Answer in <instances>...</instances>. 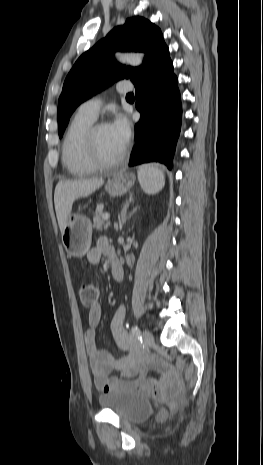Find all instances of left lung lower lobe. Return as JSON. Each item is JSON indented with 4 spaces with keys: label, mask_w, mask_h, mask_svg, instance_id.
Listing matches in <instances>:
<instances>
[{
    "label": "left lung lower lobe",
    "mask_w": 263,
    "mask_h": 465,
    "mask_svg": "<svg viewBox=\"0 0 263 465\" xmlns=\"http://www.w3.org/2000/svg\"><path fill=\"white\" fill-rule=\"evenodd\" d=\"M132 82L141 118L135 126L136 146L130 166L158 161L171 169L180 134L182 106L178 79L166 44L153 54Z\"/></svg>",
    "instance_id": "left-lung-lower-lobe-1"
}]
</instances>
